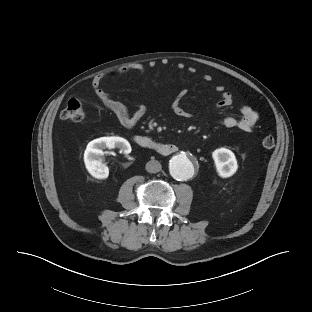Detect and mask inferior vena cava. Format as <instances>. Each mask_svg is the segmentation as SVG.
<instances>
[{
  "mask_svg": "<svg viewBox=\"0 0 312 312\" xmlns=\"http://www.w3.org/2000/svg\"><path fill=\"white\" fill-rule=\"evenodd\" d=\"M146 170L149 173H157L161 170L162 166L157 160H150L146 163Z\"/></svg>",
  "mask_w": 312,
  "mask_h": 312,
  "instance_id": "602c4592",
  "label": "inferior vena cava"
}]
</instances>
